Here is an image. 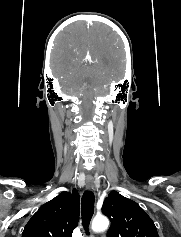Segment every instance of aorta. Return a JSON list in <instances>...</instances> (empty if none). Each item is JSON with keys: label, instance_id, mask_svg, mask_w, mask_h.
Segmentation results:
<instances>
[{"label": "aorta", "instance_id": "obj_1", "mask_svg": "<svg viewBox=\"0 0 181 237\" xmlns=\"http://www.w3.org/2000/svg\"><path fill=\"white\" fill-rule=\"evenodd\" d=\"M109 226V220L105 216H96L92 221V230L94 232L105 231Z\"/></svg>", "mask_w": 181, "mask_h": 237}]
</instances>
